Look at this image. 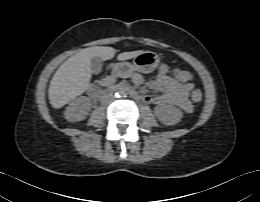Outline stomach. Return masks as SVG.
Returning <instances> with one entry per match:
<instances>
[{
  "instance_id": "obj_1",
  "label": "stomach",
  "mask_w": 260,
  "mask_h": 202,
  "mask_svg": "<svg viewBox=\"0 0 260 202\" xmlns=\"http://www.w3.org/2000/svg\"><path fill=\"white\" fill-rule=\"evenodd\" d=\"M160 63L159 56L151 51H145L134 57L133 63L121 62L115 65L114 73L122 78L130 77L134 71L150 73Z\"/></svg>"
}]
</instances>
